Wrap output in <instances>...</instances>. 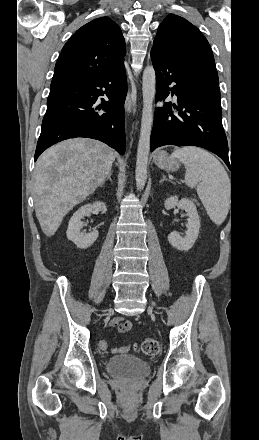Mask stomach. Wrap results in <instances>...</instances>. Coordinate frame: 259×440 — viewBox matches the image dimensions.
Here are the masks:
<instances>
[{
	"instance_id": "obj_1",
	"label": "stomach",
	"mask_w": 259,
	"mask_h": 440,
	"mask_svg": "<svg viewBox=\"0 0 259 440\" xmlns=\"http://www.w3.org/2000/svg\"><path fill=\"white\" fill-rule=\"evenodd\" d=\"M154 162L159 168L165 171H176L180 166L179 162L169 156L166 151H158L154 155Z\"/></svg>"
}]
</instances>
